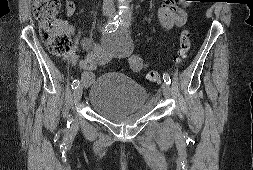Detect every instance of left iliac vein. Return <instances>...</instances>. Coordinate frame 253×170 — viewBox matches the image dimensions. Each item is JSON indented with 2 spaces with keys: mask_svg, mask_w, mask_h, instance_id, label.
Listing matches in <instances>:
<instances>
[{
  "mask_svg": "<svg viewBox=\"0 0 253 170\" xmlns=\"http://www.w3.org/2000/svg\"><path fill=\"white\" fill-rule=\"evenodd\" d=\"M162 93L166 98H169L171 95V87L167 83L162 84Z\"/></svg>",
  "mask_w": 253,
  "mask_h": 170,
  "instance_id": "4c4485c4",
  "label": "left iliac vein"
}]
</instances>
